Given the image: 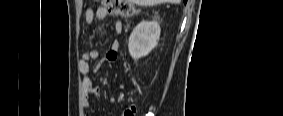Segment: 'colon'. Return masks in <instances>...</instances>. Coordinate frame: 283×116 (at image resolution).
<instances>
[{"mask_svg":"<svg viewBox=\"0 0 283 116\" xmlns=\"http://www.w3.org/2000/svg\"><path fill=\"white\" fill-rule=\"evenodd\" d=\"M103 3L110 13L124 18L135 17L137 13L134 2L131 0H104ZM135 111L136 108L134 106H129L124 110L123 115L133 116Z\"/></svg>","mask_w":283,"mask_h":116,"instance_id":"1","label":"colon"}]
</instances>
